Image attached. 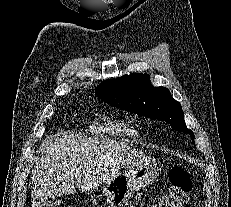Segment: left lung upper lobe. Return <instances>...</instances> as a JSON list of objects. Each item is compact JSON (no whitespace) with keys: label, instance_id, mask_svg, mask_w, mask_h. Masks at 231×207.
Here are the masks:
<instances>
[{"label":"left lung upper lobe","instance_id":"1","mask_svg":"<svg viewBox=\"0 0 231 207\" xmlns=\"http://www.w3.org/2000/svg\"><path fill=\"white\" fill-rule=\"evenodd\" d=\"M106 103L150 119L162 120L177 131L187 132L194 142V133L187 129L181 104L165 87H154L147 74L124 75L106 80L95 88Z\"/></svg>","mask_w":231,"mask_h":207}]
</instances>
